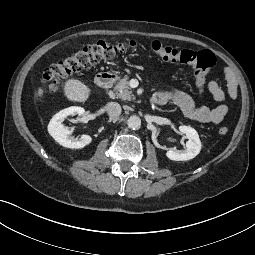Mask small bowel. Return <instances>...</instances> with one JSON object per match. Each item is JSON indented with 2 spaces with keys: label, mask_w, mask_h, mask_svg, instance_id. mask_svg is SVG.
<instances>
[{
  "label": "small bowel",
  "mask_w": 255,
  "mask_h": 255,
  "mask_svg": "<svg viewBox=\"0 0 255 255\" xmlns=\"http://www.w3.org/2000/svg\"><path fill=\"white\" fill-rule=\"evenodd\" d=\"M227 90L224 91L216 81H208L207 89L213 98L221 102L215 108L197 106L192 97L178 89H164L156 92L153 98L157 105L172 102L177 105L184 115L197 123H220L228 112V107L223 103L227 98L234 99L237 96L238 81L234 72L230 68L224 70Z\"/></svg>",
  "instance_id": "small-bowel-1"
}]
</instances>
